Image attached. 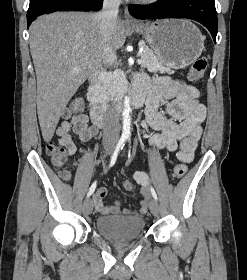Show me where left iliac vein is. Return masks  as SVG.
<instances>
[{
	"instance_id": "obj_1",
	"label": "left iliac vein",
	"mask_w": 247,
	"mask_h": 280,
	"mask_svg": "<svg viewBox=\"0 0 247 280\" xmlns=\"http://www.w3.org/2000/svg\"><path fill=\"white\" fill-rule=\"evenodd\" d=\"M150 211L153 215H158L159 213V204L155 199H152L149 204Z\"/></svg>"
}]
</instances>
